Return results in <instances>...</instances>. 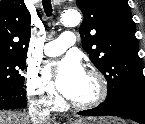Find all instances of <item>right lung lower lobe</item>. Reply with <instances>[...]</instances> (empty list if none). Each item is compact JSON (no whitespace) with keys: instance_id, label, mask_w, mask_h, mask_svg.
<instances>
[{"instance_id":"98d812e1","label":"right lung lower lobe","mask_w":145,"mask_h":124,"mask_svg":"<svg viewBox=\"0 0 145 124\" xmlns=\"http://www.w3.org/2000/svg\"><path fill=\"white\" fill-rule=\"evenodd\" d=\"M26 107V95L23 87L0 86V110Z\"/></svg>"}]
</instances>
